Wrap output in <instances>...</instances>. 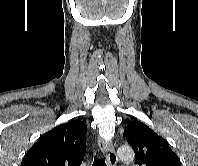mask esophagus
Segmentation results:
<instances>
[{"instance_id": "esophagus-1", "label": "esophagus", "mask_w": 198, "mask_h": 166, "mask_svg": "<svg viewBox=\"0 0 198 166\" xmlns=\"http://www.w3.org/2000/svg\"><path fill=\"white\" fill-rule=\"evenodd\" d=\"M99 147L106 152V161L107 166H117L118 165V157L113 147L112 142H105L103 138L98 137Z\"/></svg>"}]
</instances>
